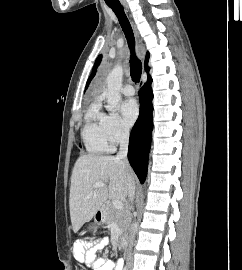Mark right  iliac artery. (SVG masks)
Returning a JSON list of instances; mask_svg holds the SVG:
<instances>
[{
	"label": "right iliac artery",
	"instance_id": "right-iliac-artery-1",
	"mask_svg": "<svg viewBox=\"0 0 242 270\" xmlns=\"http://www.w3.org/2000/svg\"><path fill=\"white\" fill-rule=\"evenodd\" d=\"M119 270H122V266H121V267H119Z\"/></svg>",
	"mask_w": 242,
	"mask_h": 270
}]
</instances>
